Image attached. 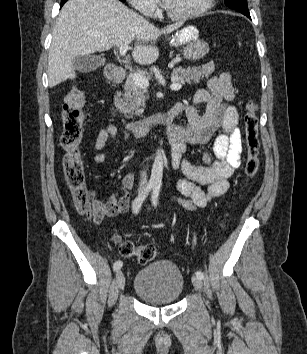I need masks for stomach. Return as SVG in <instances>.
I'll return each mask as SVG.
<instances>
[{
  "label": "stomach",
  "instance_id": "stomach-1",
  "mask_svg": "<svg viewBox=\"0 0 307 354\" xmlns=\"http://www.w3.org/2000/svg\"><path fill=\"white\" fill-rule=\"evenodd\" d=\"M170 44L172 46L185 45L183 57L190 61L202 59L209 52V45L206 41L198 39V30L194 26H188L174 35Z\"/></svg>",
  "mask_w": 307,
  "mask_h": 354
}]
</instances>
